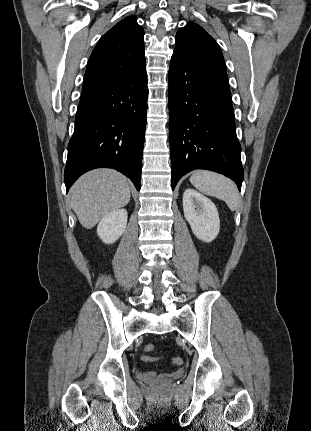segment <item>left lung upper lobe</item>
Wrapping results in <instances>:
<instances>
[{"label":"left lung upper lobe","mask_w":311,"mask_h":431,"mask_svg":"<svg viewBox=\"0 0 311 431\" xmlns=\"http://www.w3.org/2000/svg\"><path fill=\"white\" fill-rule=\"evenodd\" d=\"M174 53L189 61L226 72L223 55L216 41L198 24L189 22L176 34Z\"/></svg>","instance_id":"5c2ea615"}]
</instances>
